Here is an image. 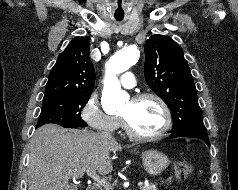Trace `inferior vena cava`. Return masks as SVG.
<instances>
[{"mask_svg":"<svg viewBox=\"0 0 238 190\" xmlns=\"http://www.w3.org/2000/svg\"><path fill=\"white\" fill-rule=\"evenodd\" d=\"M100 136L104 139H107V140H114L112 135L108 132H102V133H100Z\"/></svg>","mask_w":238,"mask_h":190,"instance_id":"602c4592","label":"inferior vena cava"}]
</instances>
